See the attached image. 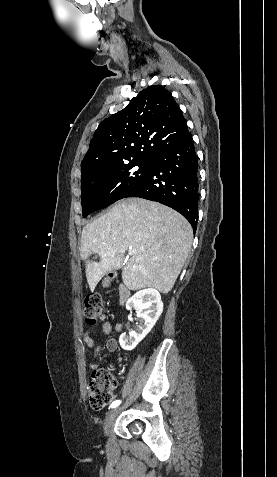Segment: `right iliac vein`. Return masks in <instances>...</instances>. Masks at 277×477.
Instances as JSON below:
<instances>
[{
	"mask_svg": "<svg viewBox=\"0 0 277 477\" xmlns=\"http://www.w3.org/2000/svg\"><path fill=\"white\" fill-rule=\"evenodd\" d=\"M118 414V409H112L108 412L106 418H105V421H104V432L107 434L108 431H109V428L111 426V423L112 421L114 420V418L116 417V415Z\"/></svg>",
	"mask_w": 277,
	"mask_h": 477,
	"instance_id": "obj_1",
	"label": "right iliac vein"
}]
</instances>
